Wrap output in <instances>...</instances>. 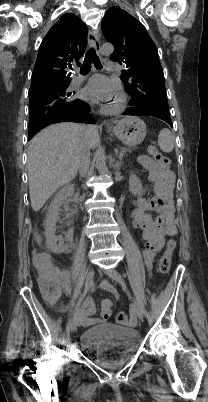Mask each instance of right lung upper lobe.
<instances>
[{
  "label": "right lung upper lobe",
  "mask_w": 208,
  "mask_h": 402,
  "mask_svg": "<svg viewBox=\"0 0 208 402\" xmlns=\"http://www.w3.org/2000/svg\"><path fill=\"white\" fill-rule=\"evenodd\" d=\"M86 44V24L75 14L62 15L40 45L30 90L42 83L71 79L67 70L72 64L80 65Z\"/></svg>",
  "instance_id": "right-lung-upper-lobe-1"
}]
</instances>
